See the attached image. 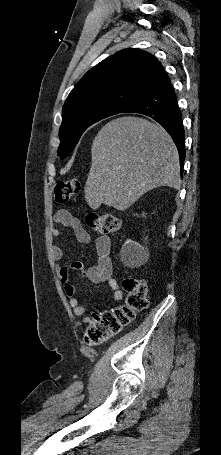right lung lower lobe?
<instances>
[{
	"label": "right lung lower lobe",
	"mask_w": 221,
	"mask_h": 455,
	"mask_svg": "<svg viewBox=\"0 0 221 455\" xmlns=\"http://www.w3.org/2000/svg\"><path fill=\"white\" fill-rule=\"evenodd\" d=\"M122 113H140L161 124L172 137L180 157L181 173L185 155V135L181 111L170 79L163 71L148 92L126 107Z\"/></svg>",
	"instance_id": "1"
}]
</instances>
